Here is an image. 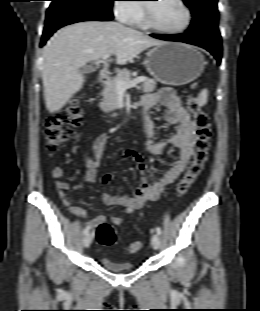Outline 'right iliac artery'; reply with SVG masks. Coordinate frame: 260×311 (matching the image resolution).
Instances as JSON below:
<instances>
[{
  "instance_id": "82829eb1",
  "label": "right iliac artery",
  "mask_w": 260,
  "mask_h": 311,
  "mask_svg": "<svg viewBox=\"0 0 260 311\" xmlns=\"http://www.w3.org/2000/svg\"><path fill=\"white\" fill-rule=\"evenodd\" d=\"M90 227L86 226L85 229L83 230L84 235H86L89 232Z\"/></svg>"
}]
</instances>
